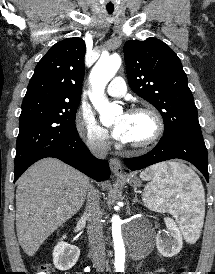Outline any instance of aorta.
<instances>
[{
  "label": "aorta",
  "mask_w": 215,
  "mask_h": 274,
  "mask_svg": "<svg viewBox=\"0 0 215 274\" xmlns=\"http://www.w3.org/2000/svg\"><path fill=\"white\" fill-rule=\"evenodd\" d=\"M121 66V58L114 54L111 56H102L93 67L90 77L92 85V94L90 100L95 109L100 114L102 124H110L114 121L115 115L121 108L116 104H111L104 95L107 83L114 77ZM113 222V241L115 247V268L122 271L125 264V247L121 234V220L119 216L114 215Z\"/></svg>",
  "instance_id": "1"
}]
</instances>
